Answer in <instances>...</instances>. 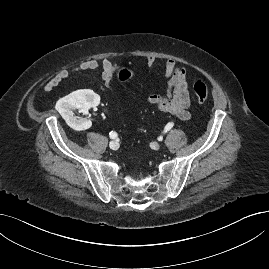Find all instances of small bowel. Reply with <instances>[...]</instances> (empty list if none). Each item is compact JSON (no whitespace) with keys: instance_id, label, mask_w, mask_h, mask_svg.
Instances as JSON below:
<instances>
[{"instance_id":"c3829d8e","label":"small bowel","mask_w":269,"mask_h":269,"mask_svg":"<svg viewBox=\"0 0 269 269\" xmlns=\"http://www.w3.org/2000/svg\"><path fill=\"white\" fill-rule=\"evenodd\" d=\"M148 67H161L166 80V94H149L146 102L159 111L169 113L182 121H188L191 118L189 107L191 104L189 95V85L186 77V69L176 60L168 59L164 62L155 56H148L144 59ZM82 71L100 70L101 78L107 87L114 84L117 66L109 59L101 60L88 59L79 66ZM68 71L62 70L52 77L44 86L46 92L55 89L66 77Z\"/></svg>"}]
</instances>
